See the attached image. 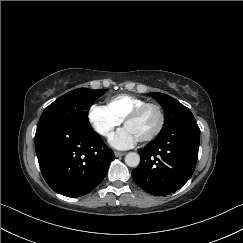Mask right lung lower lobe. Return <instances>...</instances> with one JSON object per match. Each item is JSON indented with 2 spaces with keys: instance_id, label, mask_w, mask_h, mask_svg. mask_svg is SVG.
Here are the masks:
<instances>
[{
  "instance_id": "obj_1",
  "label": "right lung lower lobe",
  "mask_w": 243,
  "mask_h": 243,
  "mask_svg": "<svg viewBox=\"0 0 243 243\" xmlns=\"http://www.w3.org/2000/svg\"><path fill=\"white\" fill-rule=\"evenodd\" d=\"M35 149L48 185L68 197L86 195L100 184L114 157L94 130L65 123L37 128Z\"/></svg>"
}]
</instances>
